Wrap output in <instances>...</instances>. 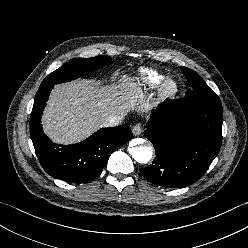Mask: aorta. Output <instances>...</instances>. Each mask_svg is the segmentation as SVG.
Returning <instances> with one entry per match:
<instances>
[{
	"label": "aorta",
	"mask_w": 248,
	"mask_h": 248,
	"mask_svg": "<svg viewBox=\"0 0 248 248\" xmlns=\"http://www.w3.org/2000/svg\"><path fill=\"white\" fill-rule=\"evenodd\" d=\"M136 144H141L139 146H135L129 149V153L132 158L141 164L148 163L153 156V149L149 145H144V140L136 139L134 140Z\"/></svg>",
	"instance_id": "1"
}]
</instances>
